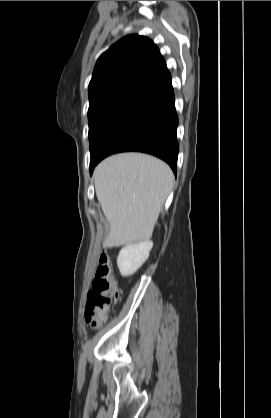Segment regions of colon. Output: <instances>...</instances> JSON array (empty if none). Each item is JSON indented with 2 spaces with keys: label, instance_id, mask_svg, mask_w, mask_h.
Wrapping results in <instances>:
<instances>
[{
  "label": "colon",
  "instance_id": "1",
  "mask_svg": "<svg viewBox=\"0 0 271 418\" xmlns=\"http://www.w3.org/2000/svg\"><path fill=\"white\" fill-rule=\"evenodd\" d=\"M118 298V291L108 256L99 259L92 288L88 294L85 320L91 328L100 327Z\"/></svg>",
  "mask_w": 271,
  "mask_h": 418
}]
</instances>
